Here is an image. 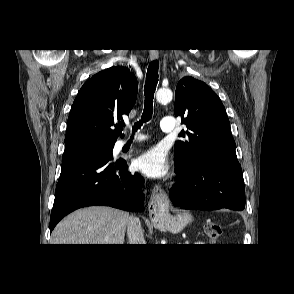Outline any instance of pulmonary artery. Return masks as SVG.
I'll list each match as a JSON object with an SVG mask.
<instances>
[{
  "label": "pulmonary artery",
  "instance_id": "pulmonary-artery-1",
  "mask_svg": "<svg viewBox=\"0 0 294 294\" xmlns=\"http://www.w3.org/2000/svg\"><path fill=\"white\" fill-rule=\"evenodd\" d=\"M130 129L132 128V126H128ZM160 127L161 129L164 131V132H171L174 130L175 128V125H174V118L173 117H169V116H166V117H163L161 119V122H160ZM145 139V137L141 134H138L136 135L134 138L130 139V138H127V139H123L120 141L121 145H127L129 143H137V142H141Z\"/></svg>",
  "mask_w": 294,
  "mask_h": 294
}]
</instances>
